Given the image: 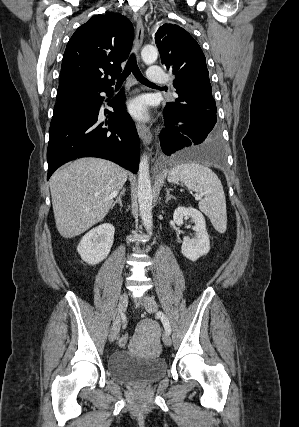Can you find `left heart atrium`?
Listing matches in <instances>:
<instances>
[{
    "mask_svg": "<svg viewBox=\"0 0 299 427\" xmlns=\"http://www.w3.org/2000/svg\"><path fill=\"white\" fill-rule=\"evenodd\" d=\"M127 109L137 119H146L148 116L147 103L143 97H138L130 101Z\"/></svg>",
    "mask_w": 299,
    "mask_h": 427,
    "instance_id": "obj_1",
    "label": "left heart atrium"
}]
</instances>
